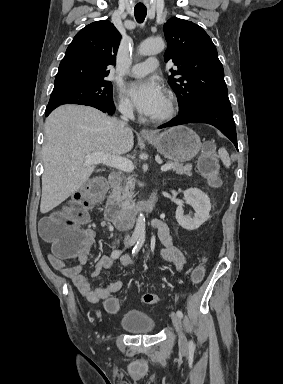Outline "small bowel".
Returning <instances> with one entry per match:
<instances>
[{"label": "small bowel", "mask_w": 283, "mask_h": 384, "mask_svg": "<svg viewBox=\"0 0 283 384\" xmlns=\"http://www.w3.org/2000/svg\"><path fill=\"white\" fill-rule=\"evenodd\" d=\"M58 213H60V211L56 212V214ZM152 227L157 231L158 237L163 246L161 250L162 258L172 263L177 269H181L185 263V256L180 249L174 246L167 224L161 219H154L152 221ZM87 259L88 250L77 257L78 264L75 265L66 263L62 258L57 256L54 251H51L49 254V261L51 265L65 277L70 279L79 290L81 296L88 302L97 303L101 300L109 298L111 295L121 290L123 287V281L121 279H116L107 285L94 288L90 285L91 278L99 276L105 270L111 269L113 265V259L111 256L103 255L96 262L90 276H86L81 273V266L87 262ZM120 262L124 266L133 264V260L128 255L122 256L120 258Z\"/></svg>", "instance_id": "1"}]
</instances>
